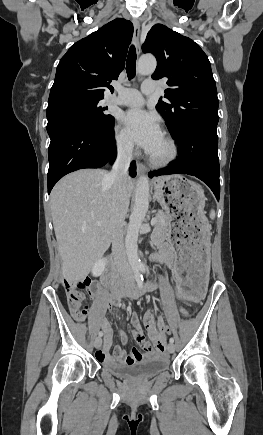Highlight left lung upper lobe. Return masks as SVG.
Returning a JSON list of instances; mask_svg holds the SVG:
<instances>
[{
  "mask_svg": "<svg viewBox=\"0 0 263 435\" xmlns=\"http://www.w3.org/2000/svg\"><path fill=\"white\" fill-rule=\"evenodd\" d=\"M142 51L157 59L152 78L167 79L166 101L160 99L156 109L173 136L189 125L218 124L215 80L208 57L197 43L156 24L148 32Z\"/></svg>",
  "mask_w": 263,
  "mask_h": 435,
  "instance_id": "5c2ea615",
  "label": "left lung upper lobe"
}]
</instances>
